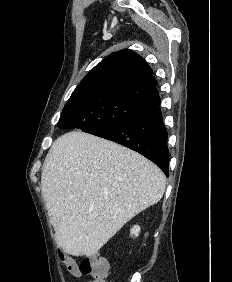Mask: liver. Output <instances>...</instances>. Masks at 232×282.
I'll list each match as a JSON object with an SVG mask.
<instances>
[{
    "instance_id": "obj_1",
    "label": "liver",
    "mask_w": 232,
    "mask_h": 282,
    "mask_svg": "<svg viewBox=\"0 0 232 282\" xmlns=\"http://www.w3.org/2000/svg\"><path fill=\"white\" fill-rule=\"evenodd\" d=\"M163 172L124 146L82 131L51 146L41 189L55 239L72 256L94 255L165 192Z\"/></svg>"
}]
</instances>
